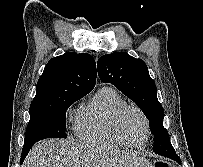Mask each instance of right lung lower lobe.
Segmentation results:
<instances>
[{"mask_svg": "<svg viewBox=\"0 0 203 167\" xmlns=\"http://www.w3.org/2000/svg\"><path fill=\"white\" fill-rule=\"evenodd\" d=\"M34 143H35V141L24 143V146H23V149H22V154H21V163L24 161L25 157L27 156L29 150L34 145Z\"/></svg>", "mask_w": 203, "mask_h": 167, "instance_id": "right-lung-lower-lobe-1", "label": "right lung lower lobe"}]
</instances>
